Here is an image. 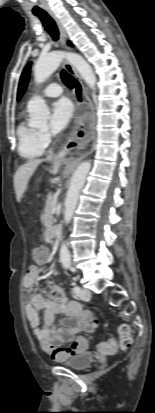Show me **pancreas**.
<instances>
[{
	"instance_id": "pancreas-1",
	"label": "pancreas",
	"mask_w": 155,
	"mask_h": 413,
	"mask_svg": "<svg viewBox=\"0 0 155 413\" xmlns=\"http://www.w3.org/2000/svg\"><path fill=\"white\" fill-rule=\"evenodd\" d=\"M54 203H55V198L52 193H49V195L47 196L46 205H45V211H46L45 222L48 225L53 224L52 214H53Z\"/></svg>"
}]
</instances>
